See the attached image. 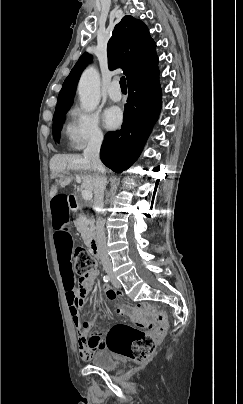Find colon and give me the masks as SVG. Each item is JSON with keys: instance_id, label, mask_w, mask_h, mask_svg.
I'll list each match as a JSON object with an SVG mask.
<instances>
[{"instance_id": "obj_1", "label": "colon", "mask_w": 243, "mask_h": 404, "mask_svg": "<svg viewBox=\"0 0 243 404\" xmlns=\"http://www.w3.org/2000/svg\"><path fill=\"white\" fill-rule=\"evenodd\" d=\"M76 271L80 275H87L96 268V260L85 248L77 247L75 250ZM150 311L156 314L158 325L151 332H145L125 323H118L108 332L105 346L113 353L133 359L144 361L156 349L157 341L166 327V315L151 307Z\"/></svg>"}]
</instances>
